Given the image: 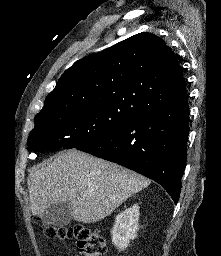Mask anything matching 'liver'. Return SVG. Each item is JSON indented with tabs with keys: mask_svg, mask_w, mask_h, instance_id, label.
Returning a JSON list of instances; mask_svg holds the SVG:
<instances>
[{
	"mask_svg": "<svg viewBox=\"0 0 221 256\" xmlns=\"http://www.w3.org/2000/svg\"><path fill=\"white\" fill-rule=\"evenodd\" d=\"M34 216L56 203H68L72 218L95 223L109 216L150 180L115 163L76 149L61 152L34 167L27 179Z\"/></svg>",
	"mask_w": 221,
	"mask_h": 256,
	"instance_id": "obj_1",
	"label": "liver"
}]
</instances>
